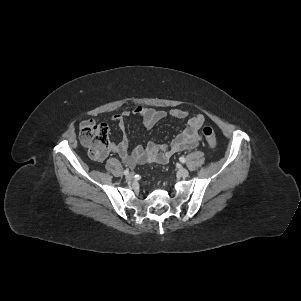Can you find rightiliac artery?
Returning <instances> with one entry per match:
<instances>
[{"instance_id": "right-iliac-artery-1", "label": "right iliac artery", "mask_w": 301, "mask_h": 301, "mask_svg": "<svg viewBox=\"0 0 301 301\" xmlns=\"http://www.w3.org/2000/svg\"><path fill=\"white\" fill-rule=\"evenodd\" d=\"M125 175H127V174H129V170L128 169H126V170H124V172H123Z\"/></svg>"}]
</instances>
